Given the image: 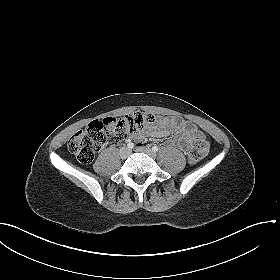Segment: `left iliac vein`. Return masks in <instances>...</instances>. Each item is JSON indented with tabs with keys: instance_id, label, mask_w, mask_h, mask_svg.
Returning a JSON list of instances; mask_svg holds the SVG:
<instances>
[{
	"instance_id": "4c4485c4",
	"label": "left iliac vein",
	"mask_w": 280,
	"mask_h": 280,
	"mask_svg": "<svg viewBox=\"0 0 280 280\" xmlns=\"http://www.w3.org/2000/svg\"><path fill=\"white\" fill-rule=\"evenodd\" d=\"M138 152H143L148 154L151 158L155 159L157 157L156 153L153 152L150 148L147 147H141L137 149Z\"/></svg>"
}]
</instances>
